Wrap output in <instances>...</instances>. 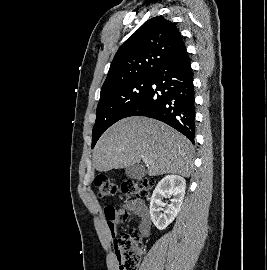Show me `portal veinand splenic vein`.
I'll return each mask as SVG.
<instances>
[{"label": "portal vein and splenic vein", "mask_w": 267, "mask_h": 270, "mask_svg": "<svg viewBox=\"0 0 267 270\" xmlns=\"http://www.w3.org/2000/svg\"><path fill=\"white\" fill-rule=\"evenodd\" d=\"M142 159H143L144 163H148V160L146 158L143 157Z\"/></svg>", "instance_id": "18ae733b"}]
</instances>
